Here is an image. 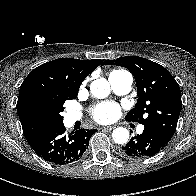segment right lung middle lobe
<instances>
[{
	"mask_svg": "<svg viewBox=\"0 0 196 196\" xmlns=\"http://www.w3.org/2000/svg\"><path fill=\"white\" fill-rule=\"evenodd\" d=\"M77 94H64L56 97H46L39 101L38 109L50 121L53 127L63 124L61 112L64 111L63 104L66 100L75 99Z\"/></svg>",
	"mask_w": 196,
	"mask_h": 196,
	"instance_id": "obj_1",
	"label": "right lung middle lobe"
}]
</instances>
